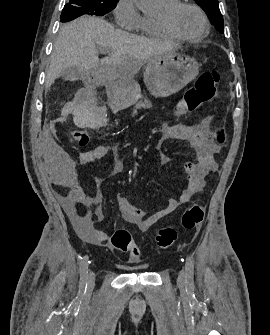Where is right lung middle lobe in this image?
<instances>
[{
    "label": "right lung middle lobe",
    "mask_w": 270,
    "mask_h": 335,
    "mask_svg": "<svg viewBox=\"0 0 270 335\" xmlns=\"http://www.w3.org/2000/svg\"><path fill=\"white\" fill-rule=\"evenodd\" d=\"M118 0H69L60 19L68 22L82 15L103 16L115 8Z\"/></svg>",
    "instance_id": "right-lung-middle-lobe-1"
}]
</instances>
